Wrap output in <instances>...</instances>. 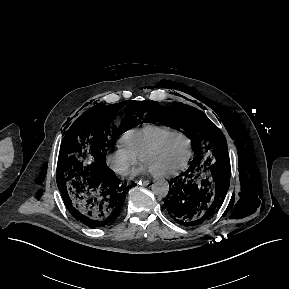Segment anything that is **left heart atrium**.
<instances>
[{
    "label": "left heart atrium",
    "mask_w": 289,
    "mask_h": 289,
    "mask_svg": "<svg viewBox=\"0 0 289 289\" xmlns=\"http://www.w3.org/2000/svg\"><path fill=\"white\" fill-rule=\"evenodd\" d=\"M150 168L147 165H142L135 173H140V172H150Z\"/></svg>",
    "instance_id": "1"
}]
</instances>
